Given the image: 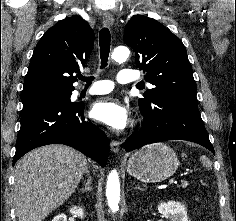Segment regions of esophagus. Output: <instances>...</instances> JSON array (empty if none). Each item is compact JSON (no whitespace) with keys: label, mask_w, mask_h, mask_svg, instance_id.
<instances>
[{"label":"esophagus","mask_w":236,"mask_h":221,"mask_svg":"<svg viewBox=\"0 0 236 221\" xmlns=\"http://www.w3.org/2000/svg\"><path fill=\"white\" fill-rule=\"evenodd\" d=\"M103 23L106 26H112L114 24L113 15L109 11H105L103 14ZM120 143L116 140H111L110 149L114 153L119 152Z\"/></svg>","instance_id":"obj_1"}]
</instances>
